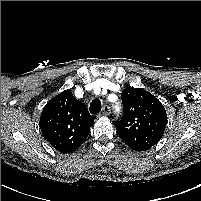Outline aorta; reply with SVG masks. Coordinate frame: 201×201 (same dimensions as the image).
<instances>
[{
    "label": "aorta",
    "mask_w": 201,
    "mask_h": 201,
    "mask_svg": "<svg viewBox=\"0 0 201 201\" xmlns=\"http://www.w3.org/2000/svg\"><path fill=\"white\" fill-rule=\"evenodd\" d=\"M116 111H120V107L118 105L115 106Z\"/></svg>",
    "instance_id": "aorta-1"
}]
</instances>
